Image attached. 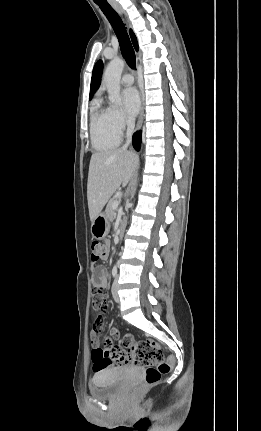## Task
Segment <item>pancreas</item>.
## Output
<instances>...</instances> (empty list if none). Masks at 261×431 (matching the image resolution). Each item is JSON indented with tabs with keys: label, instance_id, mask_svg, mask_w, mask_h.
<instances>
[{
	"label": "pancreas",
	"instance_id": "obj_1",
	"mask_svg": "<svg viewBox=\"0 0 261 431\" xmlns=\"http://www.w3.org/2000/svg\"><path fill=\"white\" fill-rule=\"evenodd\" d=\"M115 202H118L117 199L115 198L110 199L106 207V216L110 221H113L116 216L115 209L113 208V204Z\"/></svg>",
	"mask_w": 261,
	"mask_h": 431
}]
</instances>
